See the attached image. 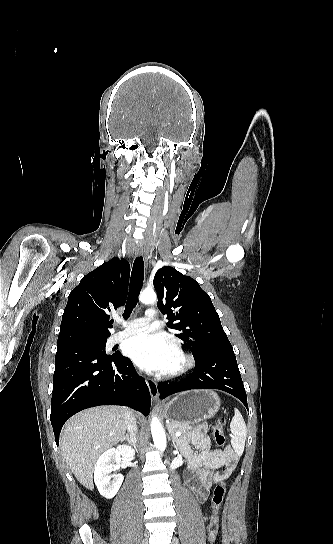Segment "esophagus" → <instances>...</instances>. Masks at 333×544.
Returning a JSON list of instances; mask_svg holds the SVG:
<instances>
[{
    "label": "esophagus",
    "instance_id": "1",
    "mask_svg": "<svg viewBox=\"0 0 333 544\" xmlns=\"http://www.w3.org/2000/svg\"><path fill=\"white\" fill-rule=\"evenodd\" d=\"M137 255L143 256L144 263L146 265V263H147V252H146L144 243H141L138 246ZM147 386H148V389H149L152 400L157 402L158 398H159V390H158L157 383L154 380L149 379V380H147Z\"/></svg>",
    "mask_w": 333,
    "mask_h": 544
}]
</instances>
